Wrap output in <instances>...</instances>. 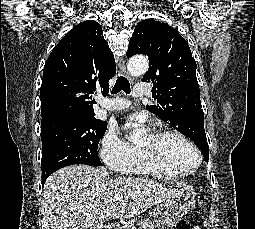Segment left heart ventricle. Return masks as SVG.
I'll return each mask as SVG.
<instances>
[{
    "instance_id": "left-heart-ventricle-1",
    "label": "left heart ventricle",
    "mask_w": 255,
    "mask_h": 229,
    "mask_svg": "<svg viewBox=\"0 0 255 229\" xmlns=\"http://www.w3.org/2000/svg\"><path fill=\"white\" fill-rule=\"evenodd\" d=\"M139 147L150 151L163 163L176 169L191 167L197 163V155L192 147L175 136L158 138L150 134L142 140Z\"/></svg>"
}]
</instances>
